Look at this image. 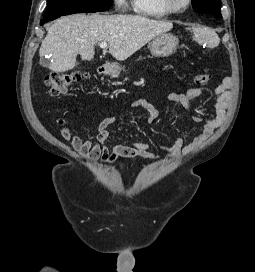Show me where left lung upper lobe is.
<instances>
[{"mask_svg": "<svg viewBox=\"0 0 255 272\" xmlns=\"http://www.w3.org/2000/svg\"><path fill=\"white\" fill-rule=\"evenodd\" d=\"M193 9L199 13H212L222 17L220 13V0H192Z\"/></svg>", "mask_w": 255, "mask_h": 272, "instance_id": "obj_1", "label": "left lung upper lobe"}]
</instances>
